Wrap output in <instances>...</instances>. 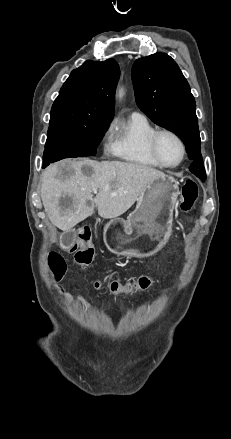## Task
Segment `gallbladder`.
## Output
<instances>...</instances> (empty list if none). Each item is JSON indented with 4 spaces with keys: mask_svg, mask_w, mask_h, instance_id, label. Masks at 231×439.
<instances>
[{
    "mask_svg": "<svg viewBox=\"0 0 231 439\" xmlns=\"http://www.w3.org/2000/svg\"><path fill=\"white\" fill-rule=\"evenodd\" d=\"M75 230L64 232L60 237V244L64 249H68L75 240Z\"/></svg>",
    "mask_w": 231,
    "mask_h": 439,
    "instance_id": "bac80fb5",
    "label": "gallbladder"
}]
</instances>
